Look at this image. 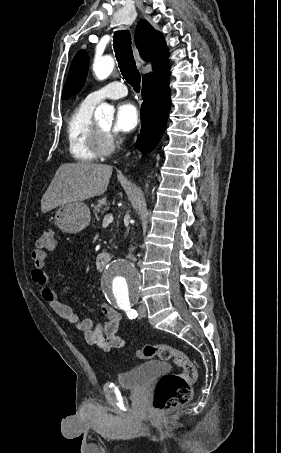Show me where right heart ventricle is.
I'll list each match as a JSON object with an SVG mask.
<instances>
[{"label": "right heart ventricle", "instance_id": "1", "mask_svg": "<svg viewBox=\"0 0 281 453\" xmlns=\"http://www.w3.org/2000/svg\"><path fill=\"white\" fill-rule=\"evenodd\" d=\"M98 103H92L87 98L80 103L68 116L66 122L69 150L74 159L93 161L97 157L94 149L93 113Z\"/></svg>", "mask_w": 281, "mask_h": 453}]
</instances>
